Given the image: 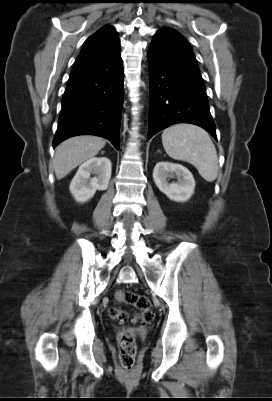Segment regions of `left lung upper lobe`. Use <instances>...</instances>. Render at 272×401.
I'll return each instance as SVG.
<instances>
[{
    "mask_svg": "<svg viewBox=\"0 0 272 401\" xmlns=\"http://www.w3.org/2000/svg\"><path fill=\"white\" fill-rule=\"evenodd\" d=\"M164 30L169 31L170 33H172L173 35H175L182 43L186 44L189 46V44L187 43V41L185 40L184 37H182L177 31L171 29V28H163Z\"/></svg>",
    "mask_w": 272,
    "mask_h": 401,
    "instance_id": "5c2ea615",
    "label": "left lung upper lobe"
}]
</instances>
